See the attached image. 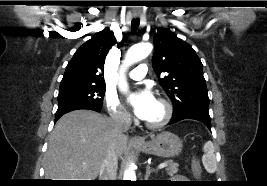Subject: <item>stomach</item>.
Returning a JSON list of instances; mask_svg holds the SVG:
<instances>
[{
    "mask_svg": "<svg viewBox=\"0 0 267 186\" xmlns=\"http://www.w3.org/2000/svg\"><path fill=\"white\" fill-rule=\"evenodd\" d=\"M149 141L137 145V149L145 154L157 155L164 158L179 155L182 150V141L180 138L168 131L157 135H151Z\"/></svg>",
    "mask_w": 267,
    "mask_h": 186,
    "instance_id": "stomach-1",
    "label": "stomach"
}]
</instances>
